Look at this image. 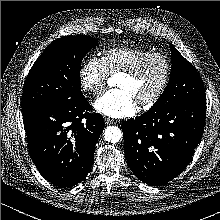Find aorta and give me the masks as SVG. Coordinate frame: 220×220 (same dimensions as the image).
I'll list each match as a JSON object with an SVG mask.
<instances>
[{"instance_id":"obj_1","label":"aorta","mask_w":220,"mask_h":220,"mask_svg":"<svg viewBox=\"0 0 220 220\" xmlns=\"http://www.w3.org/2000/svg\"><path fill=\"white\" fill-rule=\"evenodd\" d=\"M109 85H111V83L109 82ZM104 137L105 140L107 142H111L113 144L119 142L122 138V132L121 130L116 127V126H109L105 129V133H104Z\"/></svg>"}]
</instances>
